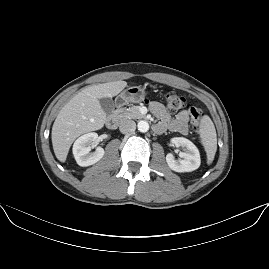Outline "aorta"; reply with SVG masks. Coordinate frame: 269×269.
Wrapping results in <instances>:
<instances>
[{
    "label": "aorta",
    "instance_id": "obj_1",
    "mask_svg": "<svg viewBox=\"0 0 269 269\" xmlns=\"http://www.w3.org/2000/svg\"><path fill=\"white\" fill-rule=\"evenodd\" d=\"M138 130L140 132H147L149 130V124L147 121L141 120L138 122Z\"/></svg>",
    "mask_w": 269,
    "mask_h": 269
}]
</instances>
